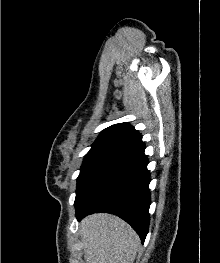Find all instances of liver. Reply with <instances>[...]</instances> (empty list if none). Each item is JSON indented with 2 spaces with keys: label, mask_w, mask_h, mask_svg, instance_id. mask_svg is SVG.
I'll list each match as a JSON object with an SVG mask.
<instances>
[{
  "label": "liver",
  "mask_w": 220,
  "mask_h": 263,
  "mask_svg": "<svg viewBox=\"0 0 220 263\" xmlns=\"http://www.w3.org/2000/svg\"><path fill=\"white\" fill-rule=\"evenodd\" d=\"M86 263H133L140 239L117 216L98 213L85 217L80 224Z\"/></svg>",
  "instance_id": "6515ba94"
}]
</instances>
